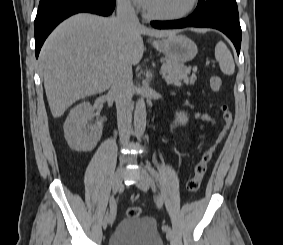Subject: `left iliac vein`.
<instances>
[{
  "instance_id": "left-iliac-vein-1",
  "label": "left iliac vein",
  "mask_w": 283,
  "mask_h": 245,
  "mask_svg": "<svg viewBox=\"0 0 283 245\" xmlns=\"http://www.w3.org/2000/svg\"><path fill=\"white\" fill-rule=\"evenodd\" d=\"M136 185L143 192H147L149 190V188L151 186V180H150L149 174L145 170L141 171V174L137 179ZM166 238L168 240L172 239V232L171 231L166 232Z\"/></svg>"
}]
</instances>
